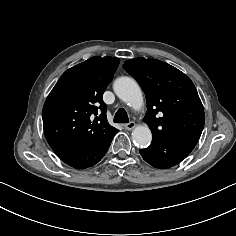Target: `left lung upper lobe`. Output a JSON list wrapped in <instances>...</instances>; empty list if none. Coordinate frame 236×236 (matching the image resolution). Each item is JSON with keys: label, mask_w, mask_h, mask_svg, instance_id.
<instances>
[{"label": "left lung upper lobe", "mask_w": 236, "mask_h": 236, "mask_svg": "<svg viewBox=\"0 0 236 236\" xmlns=\"http://www.w3.org/2000/svg\"><path fill=\"white\" fill-rule=\"evenodd\" d=\"M123 68L145 93L148 110L143 120L152 131V140L200 138L204 109L188 76L156 59L135 58L126 61Z\"/></svg>", "instance_id": "1"}]
</instances>
